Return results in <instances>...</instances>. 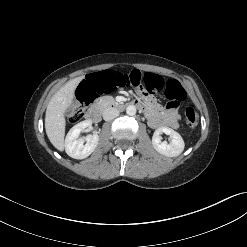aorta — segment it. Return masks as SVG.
Instances as JSON below:
<instances>
[{
  "label": "aorta",
  "instance_id": "obj_1",
  "mask_svg": "<svg viewBox=\"0 0 247 247\" xmlns=\"http://www.w3.org/2000/svg\"><path fill=\"white\" fill-rule=\"evenodd\" d=\"M126 113L129 115V116H133L136 114V107L134 105H129L127 108H126Z\"/></svg>",
  "mask_w": 247,
  "mask_h": 247
}]
</instances>
